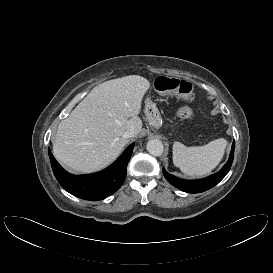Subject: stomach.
<instances>
[{"label": "stomach", "mask_w": 273, "mask_h": 273, "mask_svg": "<svg viewBox=\"0 0 273 273\" xmlns=\"http://www.w3.org/2000/svg\"><path fill=\"white\" fill-rule=\"evenodd\" d=\"M154 89L160 94V95H170L174 91V81L173 78H170L165 75H159L154 78L153 81ZM145 115L149 123L159 128L162 123L160 112L156 106V103H154L150 98H147L145 100Z\"/></svg>", "instance_id": "0dacf381"}]
</instances>
